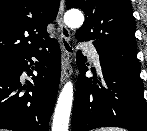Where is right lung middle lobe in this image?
Instances as JSON below:
<instances>
[{
  "label": "right lung middle lobe",
  "instance_id": "dd1d6c3e",
  "mask_svg": "<svg viewBox=\"0 0 147 131\" xmlns=\"http://www.w3.org/2000/svg\"><path fill=\"white\" fill-rule=\"evenodd\" d=\"M12 60H4V61H0V66L6 65L8 63H10Z\"/></svg>",
  "mask_w": 147,
  "mask_h": 131
}]
</instances>
